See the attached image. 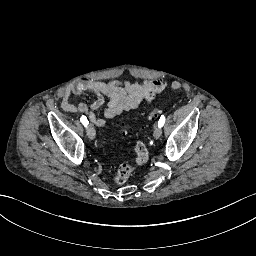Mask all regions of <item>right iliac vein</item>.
Returning a JSON list of instances; mask_svg holds the SVG:
<instances>
[{
	"mask_svg": "<svg viewBox=\"0 0 256 256\" xmlns=\"http://www.w3.org/2000/svg\"><path fill=\"white\" fill-rule=\"evenodd\" d=\"M87 135L90 139H94L95 138V129L92 125H89V127L87 128Z\"/></svg>",
	"mask_w": 256,
	"mask_h": 256,
	"instance_id": "63e3f726",
	"label": "right iliac vein"
}]
</instances>
